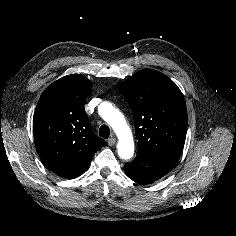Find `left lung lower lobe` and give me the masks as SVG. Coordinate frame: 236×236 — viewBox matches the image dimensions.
I'll use <instances>...</instances> for the list:
<instances>
[{
  "instance_id": "0a47b994",
  "label": "left lung lower lobe",
  "mask_w": 236,
  "mask_h": 236,
  "mask_svg": "<svg viewBox=\"0 0 236 236\" xmlns=\"http://www.w3.org/2000/svg\"><path fill=\"white\" fill-rule=\"evenodd\" d=\"M175 162L137 152L136 158L125 165L126 175L139 184H150L165 176Z\"/></svg>"
}]
</instances>
